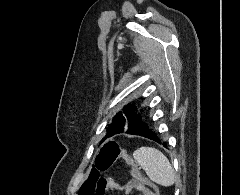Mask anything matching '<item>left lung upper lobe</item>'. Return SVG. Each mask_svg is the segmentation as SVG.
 Wrapping results in <instances>:
<instances>
[{"instance_id": "1", "label": "left lung upper lobe", "mask_w": 240, "mask_h": 195, "mask_svg": "<svg viewBox=\"0 0 240 195\" xmlns=\"http://www.w3.org/2000/svg\"><path fill=\"white\" fill-rule=\"evenodd\" d=\"M135 110H136V107L130 104H128L126 107L123 108V113L127 117V121L121 111L117 113V115L113 118V123L107 127L106 137H110L114 134L122 133L125 126H128L132 122H134L139 116L138 114L135 113Z\"/></svg>"}]
</instances>
